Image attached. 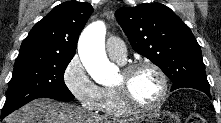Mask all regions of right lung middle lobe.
Segmentation results:
<instances>
[{"label":"right lung middle lobe","mask_w":221,"mask_h":123,"mask_svg":"<svg viewBox=\"0 0 221 123\" xmlns=\"http://www.w3.org/2000/svg\"><path fill=\"white\" fill-rule=\"evenodd\" d=\"M74 55L20 52L15 60L1 116L37 98L73 100L64 83V71Z\"/></svg>","instance_id":"dd1d6c3e"}]
</instances>
